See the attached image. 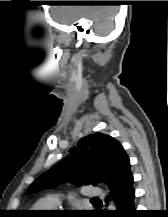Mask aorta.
Instances as JSON below:
<instances>
[{
    "instance_id": "1",
    "label": "aorta",
    "mask_w": 168,
    "mask_h": 217,
    "mask_svg": "<svg viewBox=\"0 0 168 217\" xmlns=\"http://www.w3.org/2000/svg\"><path fill=\"white\" fill-rule=\"evenodd\" d=\"M108 209H109V210H115L114 204L111 203V204L108 206Z\"/></svg>"
}]
</instances>
